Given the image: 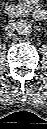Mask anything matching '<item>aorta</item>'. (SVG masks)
I'll list each match as a JSON object with an SVG mask.
<instances>
[{
  "instance_id": "1",
  "label": "aorta",
  "mask_w": 47,
  "mask_h": 129,
  "mask_svg": "<svg viewBox=\"0 0 47 129\" xmlns=\"http://www.w3.org/2000/svg\"><path fill=\"white\" fill-rule=\"evenodd\" d=\"M16 31L19 35H28L32 32V24L26 20H20L16 25Z\"/></svg>"
}]
</instances>
